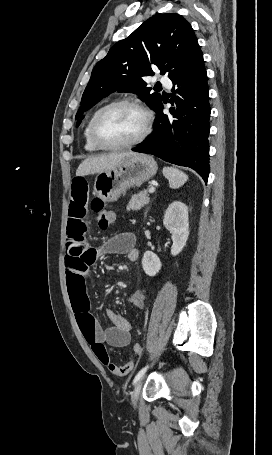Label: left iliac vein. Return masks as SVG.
<instances>
[{
	"instance_id": "left-iliac-vein-1",
	"label": "left iliac vein",
	"mask_w": 272,
	"mask_h": 455,
	"mask_svg": "<svg viewBox=\"0 0 272 455\" xmlns=\"http://www.w3.org/2000/svg\"><path fill=\"white\" fill-rule=\"evenodd\" d=\"M143 379L144 378L141 377V379L138 380V382L136 383L135 388H134V390L132 392L131 399H132L133 405H136V403H137V400H138V397H139V394H140V391H141V388H142Z\"/></svg>"
}]
</instances>
